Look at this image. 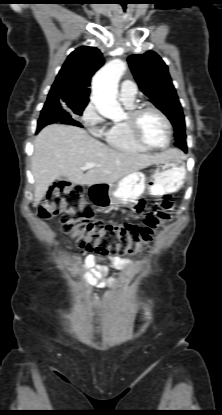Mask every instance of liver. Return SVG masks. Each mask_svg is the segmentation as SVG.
Masks as SVG:
<instances>
[{"label": "liver", "mask_w": 222, "mask_h": 415, "mask_svg": "<svg viewBox=\"0 0 222 415\" xmlns=\"http://www.w3.org/2000/svg\"><path fill=\"white\" fill-rule=\"evenodd\" d=\"M182 156L179 149L154 154L118 151L94 139L82 128L48 125L34 141L31 158L35 180L33 206L40 203L49 186L60 177L79 185L113 184L130 173ZM88 163L97 166L84 173L81 168Z\"/></svg>", "instance_id": "obj_1"}]
</instances>
